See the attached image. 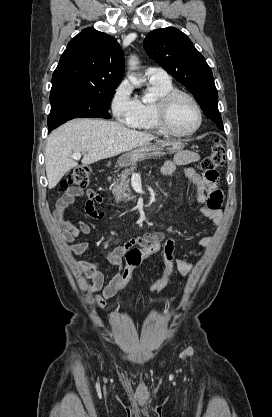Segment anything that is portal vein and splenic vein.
<instances>
[{
	"mask_svg": "<svg viewBox=\"0 0 272 417\" xmlns=\"http://www.w3.org/2000/svg\"><path fill=\"white\" fill-rule=\"evenodd\" d=\"M71 158L74 160H79L81 158V153H73Z\"/></svg>",
	"mask_w": 272,
	"mask_h": 417,
	"instance_id": "portal-vein-and-splenic-vein-1",
	"label": "portal vein and splenic vein"
}]
</instances>
